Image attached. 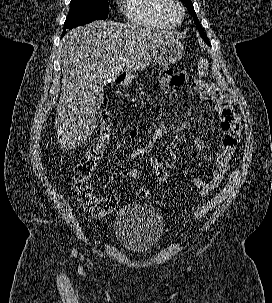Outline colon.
Masks as SVG:
<instances>
[{"label": "colon", "instance_id": "1", "mask_svg": "<svg viewBox=\"0 0 272 303\" xmlns=\"http://www.w3.org/2000/svg\"><path fill=\"white\" fill-rule=\"evenodd\" d=\"M207 72L208 61L206 59H201L198 63V74L200 76H205ZM110 131L111 128L108 118L103 115L101 117L97 136L74 169V196L83 208L86 217L90 219L107 216L112 213L117 206V200L113 196H96L91 184V178L96 169V163L103 154ZM144 162L158 182L163 183L167 180V169L158 157L151 155L145 156ZM236 178L237 170L233 169L229 175L226 187L220 194L195 209L190 214V218L193 220L198 219L221 204L227 198L229 191L234 186ZM136 193L141 199L150 196V190L147 187L138 188Z\"/></svg>", "mask_w": 272, "mask_h": 303}]
</instances>
